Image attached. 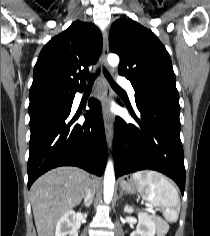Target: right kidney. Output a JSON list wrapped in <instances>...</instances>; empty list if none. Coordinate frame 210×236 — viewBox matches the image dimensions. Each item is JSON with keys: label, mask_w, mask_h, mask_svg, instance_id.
Listing matches in <instances>:
<instances>
[{"label": "right kidney", "mask_w": 210, "mask_h": 236, "mask_svg": "<svg viewBox=\"0 0 210 236\" xmlns=\"http://www.w3.org/2000/svg\"><path fill=\"white\" fill-rule=\"evenodd\" d=\"M75 219L76 215L73 210L62 215L57 222L55 236H78Z\"/></svg>", "instance_id": "1"}]
</instances>
